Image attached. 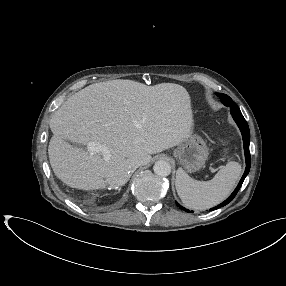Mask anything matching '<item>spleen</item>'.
<instances>
[{"instance_id": "obj_1", "label": "spleen", "mask_w": 286, "mask_h": 286, "mask_svg": "<svg viewBox=\"0 0 286 286\" xmlns=\"http://www.w3.org/2000/svg\"><path fill=\"white\" fill-rule=\"evenodd\" d=\"M241 173V165L230 161L221 167L213 179L197 181L179 168L176 175V190L186 207L195 210L209 209L224 201L231 194Z\"/></svg>"}]
</instances>
